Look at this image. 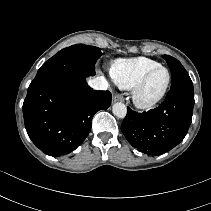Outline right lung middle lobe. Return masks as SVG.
Returning a JSON list of instances; mask_svg holds the SVG:
<instances>
[{
    "label": "right lung middle lobe",
    "instance_id": "dd1d6c3e",
    "mask_svg": "<svg viewBox=\"0 0 211 211\" xmlns=\"http://www.w3.org/2000/svg\"><path fill=\"white\" fill-rule=\"evenodd\" d=\"M101 56L100 49L84 44L72 45L46 61L35 78L68 75L86 78L95 75V63Z\"/></svg>",
    "mask_w": 211,
    "mask_h": 211
}]
</instances>
